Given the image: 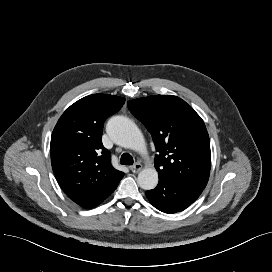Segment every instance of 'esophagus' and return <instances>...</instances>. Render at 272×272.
Segmentation results:
<instances>
[{
  "instance_id": "34e87169",
  "label": "esophagus",
  "mask_w": 272,
  "mask_h": 272,
  "mask_svg": "<svg viewBox=\"0 0 272 272\" xmlns=\"http://www.w3.org/2000/svg\"><path fill=\"white\" fill-rule=\"evenodd\" d=\"M130 169L133 173H138L142 169V164L138 162L131 166Z\"/></svg>"
}]
</instances>
